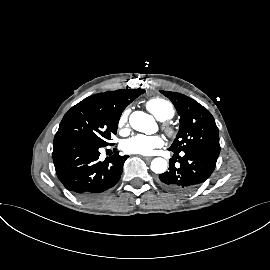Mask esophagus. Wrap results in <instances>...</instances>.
Segmentation results:
<instances>
[{"label": "esophagus", "mask_w": 270, "mask_h": 270, "mask_svg": "<svg viewBox=\"0 0 270 270\" xmlns=\"http://www.w3.org/2000/svg\"><path fill=\"white\" fill-rule=\"evenodd\" d=\"M143 159L150 161L152 159V157H143Z\"/></svg>", "instance_id": "34e87169"}]
</instances>
